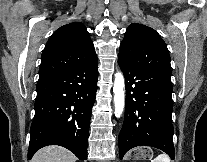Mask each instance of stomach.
Returning a JSON list of instances; mask_svg holds the SVG:
<instances>
[{
  "label": "stomach",
  "instance_id": "0dacf381",
  "mask_svg": "<svg viewBox=\"0 0 207 162\" xmlns=\"http://www.w3.org/2000/svg\"><path fill=\"white\" fill-rule=\"evenodd\" d=\"M134 157L139 160L152 157V150L147 147H140L134 151Z\"/></svg>",
  "mask_w": 207,
  "mask_h": 162
}]
</instances>
